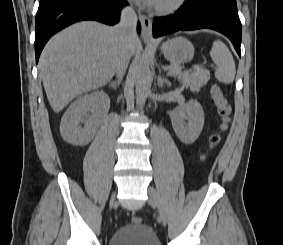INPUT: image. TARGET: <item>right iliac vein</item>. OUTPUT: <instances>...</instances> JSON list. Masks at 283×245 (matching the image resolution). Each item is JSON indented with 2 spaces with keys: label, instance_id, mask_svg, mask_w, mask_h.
Segmentation results:
<instances>
[{
  "label": "right iliac vein",
  "instance_id": "1",
  "mask_svg": "<svg viewBox=\"0 0 283 245\" xmlns=\"http://www.w3.org/2000/svg\"><path fill=\"white\" fill-rule=\"evenodd\" d=\"M114 205H115V195H113L110 200V208H112Z\"/></svg>",
  "mask_w": 283,
  "mask_h": 245
}]
</instances>
